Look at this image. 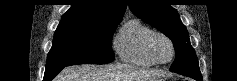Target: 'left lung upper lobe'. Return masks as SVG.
Segmentation results:
<instances>
[{
  "label": "left lung upper lobe",
  "instance_id": "5c2ea615",
  "mask_svg": "<svg viewBox=\"0 0 237 81\" xmlns=\"http://www.w3.org/2000/svg\"><path fill=\"white\" fill-rule=\"evenodd\" d=\"M131 11L144 22L156 27L173 42L176 58L170 71L202 77L198 59L178 12L165 0H128Z\"/></svg>",
  "mask_w": 237,
  "mask_h": 81
}]
</instances>
